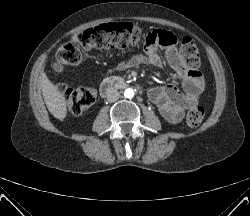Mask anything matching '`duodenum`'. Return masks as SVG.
I'll list each match as a JSON object with an SVG mask.
<instances>
[{
  "mask_svg": "<svg viewBox=\"0 0 250 216\" xmlns=\"http://www.w3.org/2000/svg\"><path fill=\"white\" fill-rule=\"evenodd\" d=\"M127 85L126 81L117 77H110L104 80L100 85V95L106 97L112 91L123 88Z\"/></svg>",
  "mask_w": 250,
  "mask_h": 216,
  "instance_id": "1",
  "label": "duodenum"
}]
</instances>
